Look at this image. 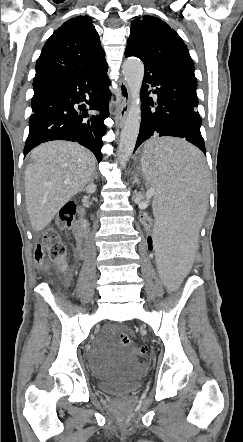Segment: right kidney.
I'll return each mask as SVG.
<instances>
[{"instance_id":"obj_1","label":"right kidney","mask_w":243,"mask_h":442,"mask_svg":"<svg viewBox=\"0 0 243 442\" xmlns=\"http://www.w3.org/2000/svg\"><path fill=\"white\" fill-rule=\"evenodd\" d=\"M95 190H96V186L95 185H88L86 188H85V191L87 192V193H94L95 192ZM87 226V221L86 220H84L83 221V227L85 228Z\"/></svg>"}]
</instances>
